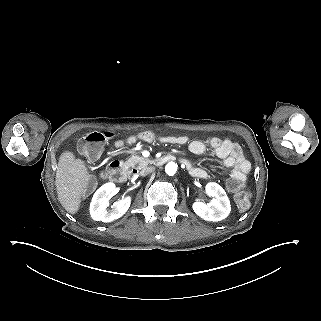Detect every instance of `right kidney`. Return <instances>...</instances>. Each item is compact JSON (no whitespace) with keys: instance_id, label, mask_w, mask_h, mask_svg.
<instances>
[{"instance_id":"1","label":"right kidney","mask_w":321,"mask_h":321,"mask_svg":"<svg viewBox=\"0 0 321 321\" xmlns=\"http://www.w3.org/2000/svg\"><path fill=\"white\" fill-rule=\"evenodd\" d=\"M116 186L108 182L101 186L94 194L90 204L91 217L96 221L112 222L122 217L130 208L132 197L130 195L123 197L115 202L110 210H107V202L110 194H116Z\"/></svg>"}]
</instances>
